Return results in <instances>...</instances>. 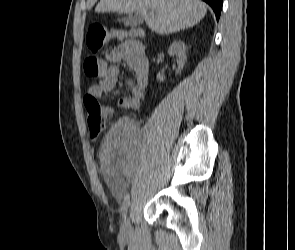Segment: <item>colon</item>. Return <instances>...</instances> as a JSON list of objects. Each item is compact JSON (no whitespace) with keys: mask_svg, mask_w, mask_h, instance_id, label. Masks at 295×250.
<instances>
[{"mask_svg":"<svg viewBox=\"0 0 295 250\" xmlns=\"http://www.w3.org/2000/svg\"><path fill=\"white\" fill-rule=\"evenodd\" d=\"M124 34L115 30H108L101 25H92L87 33L86 42L92 52L99 51L107 42L113 39H123ZM103 70V64L99 58L90 55L84 60V72L88 77L97 78ZM84 106L87 111V126L89 135L98 137L106 127V118L109 114L105 107L101 106L97 99L86 95Z\"/></svg>","mask_w":295,"mask_h":250,"instance_id":"obj_1","label":"colon"}]
</instances>
